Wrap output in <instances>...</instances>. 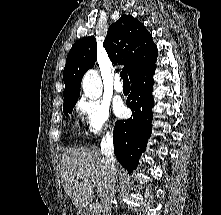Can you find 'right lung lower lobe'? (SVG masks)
<instances>
[{
    "label": "right lung lower lobe",
    "mask_w": 221,
    "mask_h": 215,
    "mask_svg": "<svg viewBox=\"0 0 221 215\" xmlns=\"http://www.w3.org/2000/svg\"><path fill=\"white\" fill-rule=\"evenodd\" d=\"M155 61L130 78L132 92L127 98V105L132 110V117L117 121L114 127V153L129 173L138 166L151 134Z\"/></svg>",
    "instance_id": "1"
}]
</instances>
